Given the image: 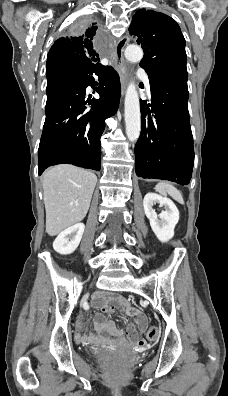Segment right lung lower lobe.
I'll return each instance as SVG.
<instances>
[{"label": "right lung lower lobe", "instance_id": "obj_1", "mask_svg": "<svg viewBox=\"0 0 228 396\" xmlns=\"http://www.w3.org/2000/svg\"><path fill=\"white\" fill-rule=\"evenodd\" d=\"M88 86L96 88L99 99L85 97ZM120 92L119 75L111 66L84 65L47 93L38 149L39 175L47 167L62 163L100 170V137L105 119L117 111Z\"/></svg>", "mask_w": 228, "mask_h": 396}]
</instances>
